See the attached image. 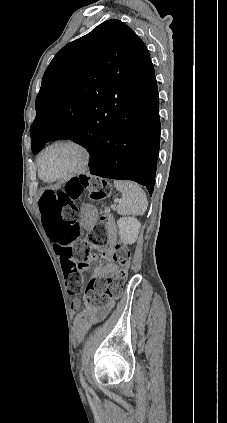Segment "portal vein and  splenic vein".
<instances>
[{"mask_svg": "<svg viewBox=\"0 0 227 423\" xmlns=\"http://www.w3.org/2000/svg\"><path fill=\"white\" fill-rule=\"evenodd\" d=\"M114 203H115V204H121V203H122V200H121V199H115V200H114ZM111 209H112V210H115V209H116V206H115V205H112V206H111Z\"/></svg>", "mask_w": 227, "mask_h": 423, "instance_id": "1", "label": "portal vein and splenic vein"}]
</instances>
